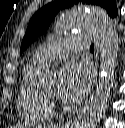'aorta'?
Segmentation results:
<instances>
[{"instance_id": "762f6f07", "label": "aorta", "mask_w": 125, "mask_h": 128, "mask_svg": "<svg viewBox=\"0 0 125 128\" xmlns=\"http://www.w3.org/2000/svg\"><path fill=\"white\" fill-rule=\"evenodd\" d=\"M63 32L87 31L97 43L101 52V74L96 90L85 108L79 114L72 128H96L107 107L110 88L119 49L118 35L108 14L91 5H78L65 11L57 25ZM56 78L45 72L39 83L45 88L55 84Z\"/></svg>"}]
</instances>
